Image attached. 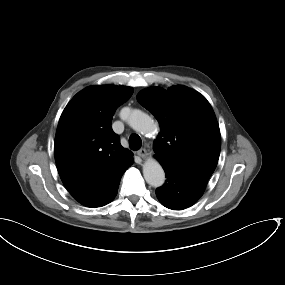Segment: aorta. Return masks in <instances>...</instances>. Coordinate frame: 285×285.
<instances>
[{"label":"aorta","instance_id":"aorta-1","mask_svg":"<svg viewBox=\"0 0 285 285\" xmlns=\"http://www.w3.org/2000/svg\"><path fill=\"white\" fill-rule=\"evenodd\" d=\"M121 118L135 131L147 135L156 131L153 119L138 109L123 108ZM143 175L146 182L153 187H160L165 182V173L160 163L149 158L143 164Z\"/></svg>","mask_w":285,"mask_h":285}]
</instances>
